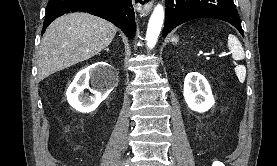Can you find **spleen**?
<instances>
[{
  "label": "spleen",
  "instance_id": "obj_1",
  "mask_svg": "<svg viewBox=\"0 0 277 166\" xmlns=\"http://www.w3.org/2000/svg\"><path fill=\"white\" fill-rule=\"evenodd\" d=\"M228 48L232 52V57L234 60H243L245 53L240 41L236 36L229 34L228 36Z\"/></svg>",
  "mask_w": 277,
  "mask_h": 166
}]
</instances>
